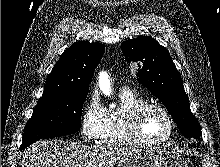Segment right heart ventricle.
<instances>
[{"label": "right heart ventricle", "instance_id": "right-heart-ventricle-1", "mask_svg": "<svg viewBox=\"0 0 220 167\" xmlns=\"http://www.w3.org/2000/svg\"><path fill=\"white\" fill-rule=\"evenodd\" d=\"M119 99L118 107L106 110L104 128L99 140L106 146L138 145L130 133L129 118L131 112L146 101L129 89L121 90Z\"/></svg>", "mask_w": 220, "mask_h": 167}]
</instances>
